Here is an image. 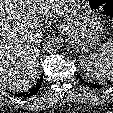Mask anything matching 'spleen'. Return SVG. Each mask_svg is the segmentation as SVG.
I'll return each mask as SVG.
<instances>
[{"label": "spleen", "instance_id": "obj_1", "mask_svg": "<svg viewBox=\"0 0 113 113\" xmlns=\"http://www.w3.org/2000/svg\"><path fill=\"white\" fill-rule=\"evenodd\" d=\"M79 62L83 71L93 81L113 80V40L104 43L98 53L81 56Z\"/></svg>", "mask_w": 113, "mask_h": 113}]
</instances>
